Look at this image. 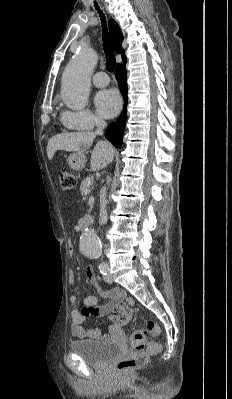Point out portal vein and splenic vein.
Here are the masks:
<instances>
[{
    "instance_id": "portal-vein-and-splenic-vein-1",
    "label": "portal vein and splenic vein",
    "mask_w": 232,
    "mask_h": 399,
    "mask_svg": "<svg viewBox=\"0 0 232 399\" xmlns=\"http://www.w3.org/2000/svg\"><path fill=\"white\" fill-rule=\"evenodd\" d=\"M87 194H90V190H86V192H84V196H87Z\"/></svg>"
}]
</instances>
